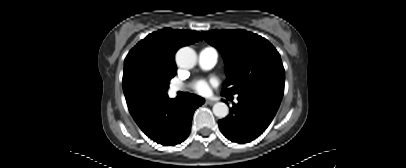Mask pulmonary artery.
Listing matches in <instances>:
<instances>
[{"instance_id":"1","label":"pulmonary artery","mask_w":406,"mask_h":168,"mask_svg":"<svg viewBox=\"0 0 406 168\" xmlns=\"http://www.w3.org/2000/svg\"><path fill=\"white\" fill-rule=\"evenodd\" d=\"M217 59H218V53L214 48H211V47L202 49L198 55L199 65L203 69L213 68L217 63ZM181 90H182L181 86L175 85V86L171 87V92H173V93H176Z\"/></svg>"}]
</instances>
